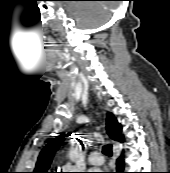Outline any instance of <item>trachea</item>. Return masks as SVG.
<instances>
[{"instance_id": "1", "label": "trachea", "mask_w": 170, "mask_h": 173, "mask_svg": "<svg viewBox=\"0 0 170 173\" xmlns=\"http://www.w3.org/2000/svg\"><path fill=\"white\" fill-rule=\"evenodd\" d=\"M103 154L106 156L111 157L112 156V145H105L102 149Z\"/></svg>"}]
</instances>
